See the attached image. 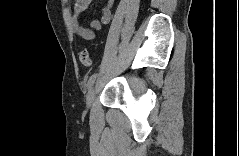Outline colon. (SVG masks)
<instances>
[{
	"instance_id": "obj_1",
	"label": "colon",
	"mask_w": 239,
	"mask_h": 156,
	"mask_svg": "<svg viewBox=\"0 0 239 156\" xmlns=\"http://www.w3.org/2000/svg\"><path fill=\"white\" fill-rule=\"evenodd\" d=\"M79 60L85 66H90L92 64V58L86 47H83L79 52Z\"/></svg>"
}]
</instances>
